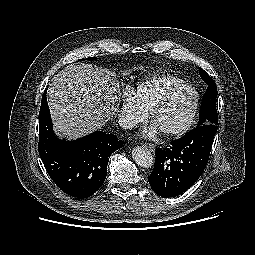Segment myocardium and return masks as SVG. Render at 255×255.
<instances>
[{"mask_svg": "<svg viewBox=\"0 0 255 255\" xmlns=\"http://www.w3.org/2000/svg\"><path fill=\"white\" fill-rule=\"evenodd\" d=\"M188 91L193 92V94H194V100H193V106H192L191 113H190L189 117L187 118V120L180 126L173 128V129H169V130L160 131L161 134L166 138H176V137L182 136L194 124L197 114H198L199 103H200V95H199L198 90L192 85L185 84L184 86L175 90L174 92L169 94L167 97H165L163 100H161L151 110L150 117H151L152 122L154 123L157 116L164 109H166L177 97H179L181 94L188 92Z\"/></svg>", "mask_w": 255, "mask_h": 255, "instance_id": "f54148a6", "label": "myocardium"}]
</instances>
